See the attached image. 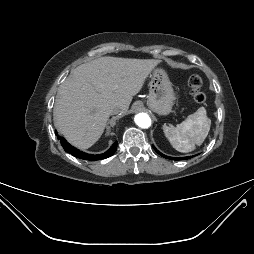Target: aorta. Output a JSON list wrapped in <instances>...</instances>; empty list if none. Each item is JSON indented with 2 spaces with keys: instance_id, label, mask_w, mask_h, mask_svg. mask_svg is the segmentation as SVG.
Returning a JSON list of instances; mask_svg holds the SVG:
<instances>
[{
  "instance_id": "762f6f07",
  "label": "aorta",
  "mask_w": 254,
  "mask_h": 254,
  "mask_svg": "<svg viewBox=\"0 0 254 254\" xmlns=\"http://www.w3.org/2000/svg\"><path fill=\"white\" fill-rule=\"evenodd\" d=\"M135 123L141 128H148L151 125V119L146 113H139L135 116Z\"/></svg>"
}]
</instances>
